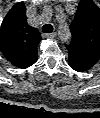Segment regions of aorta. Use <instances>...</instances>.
<instances>
[{"label":"aorta","instance_id":"obj_1","mask_svg":"<svg viewBox=\"0 0 100 118\" xmlns=\"http://www.w3.org/2000/svg\"><path fill=\"white\" fill-rule=\"evenodd\" d=\"M59 38L61 42H68L71 38V33L67 25L60 26Z\"/></svg>","mask_w":100,"mask_h":118}]
</instances>
